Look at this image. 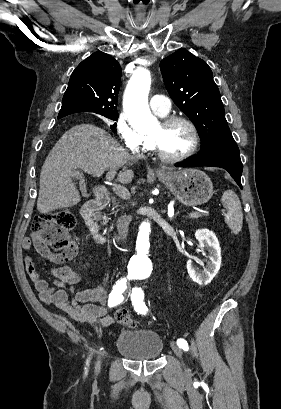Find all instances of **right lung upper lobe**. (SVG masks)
Masks as SVG:
<instances>
[{
	"label": "right lung upper lobe",
	"instance_id": "obj_1",
	"mask_svg": "<svg viewBox=\"0 0 281 409\" xmlns=\"http://www.w3.org/2000/svg\"><path fill=\"white\" fill-rule=\"evenodd\" d=\"M120 78L121 67L114 58L93 53L73 71L58 119L78 112L118 113Z\"/></svg>",
	"mask_w": 281,
	"mask_h": 409
}]
</instances>
